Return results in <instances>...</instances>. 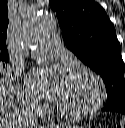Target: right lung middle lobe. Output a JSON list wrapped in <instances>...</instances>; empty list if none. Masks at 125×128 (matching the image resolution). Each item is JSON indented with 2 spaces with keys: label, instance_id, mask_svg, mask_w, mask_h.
I'll return each instance as SVG.
<instances>
[{
  "label": "right lung middle lobe",
  "instance_id": "obj_1",
  "mask_svg": "<svg viewBox=\"0 0 125 128\" xmlns=\"http://www.w3.org/2000/svg\"><path fill=\"white\" fill-rule=\"evenodd\" d=\"M8 61H9L8 59H3V60L0 59V62L7 63ZM1 65H2V64H1ZM3 67H5V64H3Z\"/></svg>",
  "mask_w": 125,
  "mask_h": 128
}]
</instances>
